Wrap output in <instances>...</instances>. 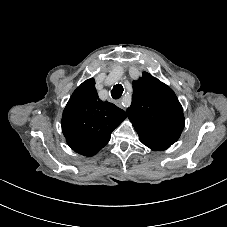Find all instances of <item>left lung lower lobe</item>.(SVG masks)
<instances>
[{
    "label": "left lung lower lobe",
    "mask_w": 227,
    "mask_h": 227,
    "mask_svg": "<svg viewBox=\"0 0 227 227\" xmlns=\"http://www.w3.org/2000/svg\"><path fill=\"white\" fill-rule=\"evenodd\" d=\"M141 142L155 151H162L169 148L172 144L163 141L145 131H137Z\"/></svg>",
    "instance_id": "0a47b994"
}]
</instances>
